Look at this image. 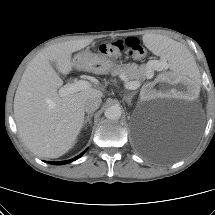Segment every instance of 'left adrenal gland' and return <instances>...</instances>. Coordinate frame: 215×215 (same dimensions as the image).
<instances>
[{
	"label": "left adrenal gland",
	"instance_id": "1",
	"mask_svg": "<svg viewBox=\"0 0 215 215\" xmlns=\"http://www.w3.org/2000/svg\"><path fill=\"white\" fill-rule=\"evenodd\" d=\"M136 93L133 92L131 94H129L128 96H124V100L127 102L128 105H131V101H132V98L134 97Z\"/></svg>",
	"mask_w": 215,
	"mask_h": 215
}]
</instances>
